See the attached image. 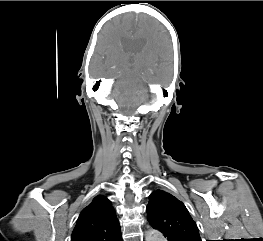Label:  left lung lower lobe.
Segmentation results:
<instances>
[{"label":"left lung lower lobe","instance_id":"obj_1","mask_svg":"<svg viewBox=\"0 0 263 241\" xmlns=\"http://www.w3.org/2000/svg\"><path fill=\"white\" fill-rule=\"evenodd\" d=\"M163 234L167 238L168 241H178L175 237H173V236H171L169 234H165V233H163Z\"/></svg>","mask_w":263,"mask_h":241}]
</instances>
